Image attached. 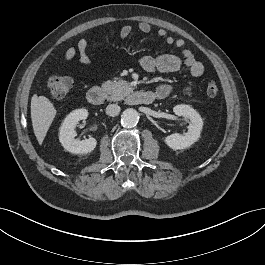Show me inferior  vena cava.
Returning <instances> with one entry per match:
<instances>
[{
    "instance_id": "inferior-vena-cava-1",
    "label": "inferior vena cava",
    "mask_w": 265,
    "mask_h": 265,
    "mask_svg": "<svg viewBox=\"0 0 265 265\" xmlns=\"http://www.w3.org/2000/svg\"><path fill=\"white\" fill-rule=\"evenodd\" d=\"M120 113V106L117 104H110L106 107V114L109 116H117Z\"/></svg>"
}]
</instances>
